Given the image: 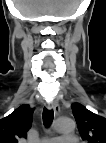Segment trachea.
Returning <instances> with one entry per match:
<instances>
[{
    "instance_id": "1",
    "label": "trachea",
    "mask_w": 106,
    "mask_h": 143,
    "mask_svg": "<svg viewBox=\"0 0 106 143\" xmlns=\"http://www.w3.org/2000/svg\"><path fill=\"white\" fill-rule=\"evenodd\" d=\"M42 118H43L44 126L49 127L52 124V121L54 119L53 110H48V109L44 108Z\"/></svg>"
}]
</instances>
